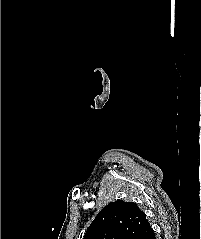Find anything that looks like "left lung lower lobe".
I'll use <instances>...</instances> for the list:
<instances>
[{"instance_id": "1", "label": "left lung lower lobe", "mask_w": 201, "mask_h": 239, "mask_svg": "<svg viewBox=\"0 0 201 239\" xmlns=\"http://www.w3.org/2000/svg\"><path fill=\"white\" fill-rule=\"evenodd\" d=\"M145 239H156L155 233L153 229L151 228L148 235L145 237Z\"/></svg>"}]
</instances>
